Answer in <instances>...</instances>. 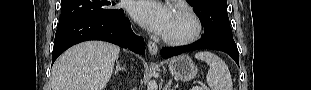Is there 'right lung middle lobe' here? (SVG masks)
Listing matches in <instances>:
<instances>
[{"label": "right lung middle lobe", "mask_w": 311, "mask_h": 90, "mask_svg": "<svg viewBox=\"0 0 311 90\" xmlns=\"http://www.w3.org/2000/svg\"><path fill=\"white\" fill-rule=\"evenodd\" d=\"M59 26L87 17H115L123 12L108 0H61Z\"/></svg>", "instance_id": "obj_1"}]
</instances>
